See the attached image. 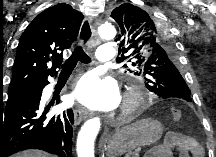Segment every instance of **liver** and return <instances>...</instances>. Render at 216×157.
<instances>
[{"instance_id": "6515ba94", "label": "liver", "mask_w": 216, "mask_h": 157, "mask_svg": "<svg viewBox=\"0 0 216 157\" xmlns=\"http://www.w3.org/2000/svg\"><path fill=\"white\" fill-rule=\"evenodd\" d=\"M13 157H51V155L40 150H26L14 154Z\"/></svg>"}]
</instances>
